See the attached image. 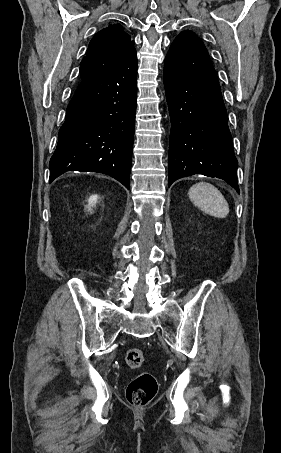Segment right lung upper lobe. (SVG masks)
<instances>
[{
	"instance_id": "right-lung-upper-lobe-1",
	"label": "right lung upper lobe",
	"mask_w": 281,
	"mask_h": 453,
	"mask_svg": "<svg viewBox=\"0 0 281 453\" xmlns=\"http://www.w3.org/2000/svg\"><path fill=\"white\" fill-rule=\"evenodd\" d=\"M136 53L134 41L120 24H112L95 34L80 63L81 80L103 76Z\"/></svg>"
}]
</instances>
